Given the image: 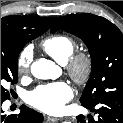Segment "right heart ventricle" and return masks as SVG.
<instances>
[{"instance_id":"e07e8e85","label":"right heart ventricle","mask_w":123,"mask_h":123,"mask_svg":"<svg viewBox=\"0 0 123 123\" xmlns=\"http://www.w3.org/2000/svg\"><path fill=\"white\" fill-rule=\"evenodd\" d=\"M41 46L53 59L61 64H65L75 51L76 43L69 36L57 34L44 39Z\"/></svg>"}]
</instances>
